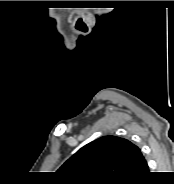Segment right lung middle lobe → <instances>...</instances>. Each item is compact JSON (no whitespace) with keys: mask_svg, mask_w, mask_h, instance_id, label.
<instances>
[{"mask_svg":"<svg viewBox=\"0 0 174 184\" xmlns=\"http://www.w3.org/2000/svg\"><path fill=\"white\" fill-rule=\"evenodd\" d=\"M121 183H115V184H121ZM86 184H108V183H86Z\"/></svg>","mask_w":174,"mask_h":184,"instance_id":"right-lung-middle-lobe-1","label":"right lung middle lobe"}]
</instances>
